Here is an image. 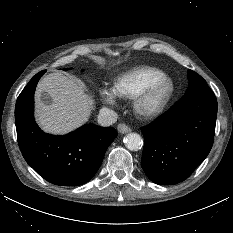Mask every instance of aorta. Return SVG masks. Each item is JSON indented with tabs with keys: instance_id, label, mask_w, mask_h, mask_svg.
Masks as SVG:
<instances>
[{
	"instance_id": "aorta-1",
	"label": "aorta",
	"mask_w": 233,
	"mask_h": 233,
	"mask_svg": "<svg viewBox=\"0 0 233 233\" xmlns=\"http://www.w3.org/2000/svg\"><path fill=\"white\" fill-rule=\"evenodd\" d=\"M124 143L129 150L136 151L142 147V137L137 133H129L124 139Z\"/></svg>"
}]
</instances>
